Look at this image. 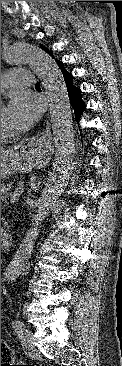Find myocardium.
Masks as SVG:
<instances>
[{"label":"myocardium","instance_id":"obj_1","mask_svg":"<svg viewBox=\"0 0 122 366\" xmlns=\"http://www.w3.org/2000/svg\"><path fill=\"white\" fill-rule=\"evenodd\" d=\"M12 138H13V135L1 132V143L12 140Z\"/></svg>","mask_w":122,"mask_h":366}]
</instances>
